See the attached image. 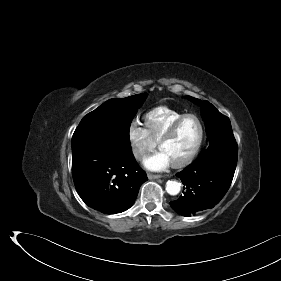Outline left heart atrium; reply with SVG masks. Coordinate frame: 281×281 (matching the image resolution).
Listing matches in <instances>:
<instances>
[{
  "label": "left heart atrium",
  "mask_w": 281,
  "mask_h": 281,
  "mask_svg": "<svg viewBox=\"0 0 281 281\" xmlns=\"http://www.w3.org/2000/svg\"><path fill=\"white\" fill-rule=\"evenodd\" d=\"M171 163L172 162L170 161V159L162 151L156 152V153L148 156L144 160L145 167L148 168L149 170H153V171H162V170L166 169L167 167H169V165Z\"/></svg>",
  "instance_id": "left-heart-atrium-1"
}]
</instances>
